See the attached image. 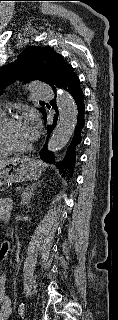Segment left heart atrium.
Segmentation results:
<instances>
[{
	"mask_svg": "<svg viewBox=\"0 0 118 320\" xmlns=\"http://www.w3.org/2000/svg\"><path fill=\"white\" fill-rule=\"evenodd\" d=\"M30 141L37 138L39 134V122L36 116H29L24 122Z\"/></svg>",
	"mask_w": 118,
	"mask_h": 320,
	"instance_id": "39dd6f15",
	"label": "left heart atrium"
}]
</instances>
